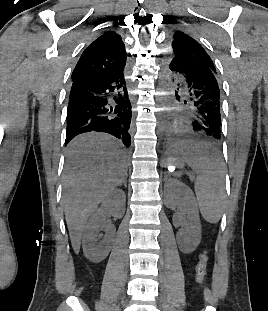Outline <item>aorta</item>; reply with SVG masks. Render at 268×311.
<instances>
[{"label": "aorta", "instance_id": "obj_1", "mask_svg": "<svg viewBox=\"0 0 268 311\" xmlns=\"http://www.w3.org/2000/svg\"><path fill=\"white\" fill-rule=\"evenodd\" d=\"M156 110H157V124L162 126L164 124V99H165V88L163 87V80H156Z\"/></svg>", "mask_w": 268, "mask_h": 311}]
</instances>
